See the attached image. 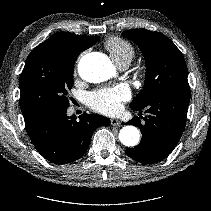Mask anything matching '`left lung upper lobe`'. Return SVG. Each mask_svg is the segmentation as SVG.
<instances>
[{
    "label": "left lung upper lobe",
    "mask_w": 211,
    "mask_h": 211,
    "mask_svg": "<svg viewBox=\"0 0 211 211\" xmlns=\"http://www.w3.org/2000/svg\"><path fill=\"white\" fill-rule=\"evenodd\" d=\"M122 35L138 45L146 61L145 86L130 104L132 109L143 108L172 90H190L184 57L169 38L146 29L128 30Z\"/></svg>",
    "instance_id": "1"
}]
</instances>
